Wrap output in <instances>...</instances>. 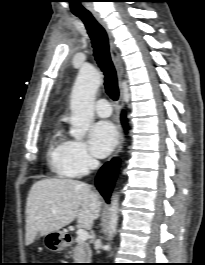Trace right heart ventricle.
Returning a JSON list of instances; mask_svg holds the SVG:
<instances>
[{
  "mask_svg": "<svg viewBox=\"0 0 205 265\" xmlns=\"http://www.w3.org/2000/svg\"><path fill=\"white\" fill-rule=\"evenodd\" d=\"M67 141L60 131H56L50 138L47 148V161L50 169L61 177H73L65 165Z\"/></svg>",
  "mask_w": 205,
  "mask_h": 265,
  "instance_id": "right-heart-ventricle-1",
  "label": "right heart ventricle"
}]
</instances>
